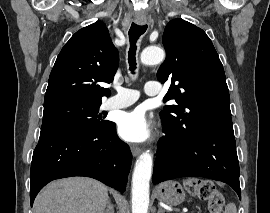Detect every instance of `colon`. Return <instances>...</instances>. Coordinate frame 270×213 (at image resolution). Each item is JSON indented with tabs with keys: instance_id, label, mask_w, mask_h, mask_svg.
Instances as JSON below:
<instances>
[{
	"instance_id": "5ec220e1",
	"label": "colon",
	"mask_w": 270,
	"mask_h": 213,
	"mask_svg": "<svg viewBox=\"0 0 270 213\" xmlns=\"http://www.w3.org/2000/svg\"><path fill=\"white\" fill-rule=\"evenodd\" d=\"M185 186L191 196L207 202L209 213H221L225 199L210 180L193 178L187 180Z\"/></svg>"
}]
</instances>
